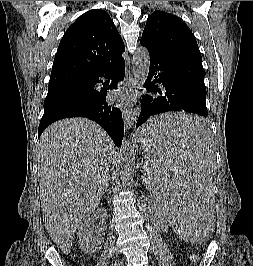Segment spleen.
Segmentation results:
<instances>
[{
    "label": "spleen",
    "mask_w": 253,
    "mask_h": 266,
    "mask_svg": "<svg viewBox=\"0 0 253 266\" xmlns=\"http://www.w3.org/2000/svg\"><path fill=\"white\" fill-rule=\"evenodd\" d=\"M202 120L206 115L201 111H163L149 117L144 128L152 138L144 139L139 163L144 186L188 248H201L209 235H216L210 201L214 141L205 135L208 124Z\"/></svg>",
    "instance_id": "3e777b00"
}]
</instances>
